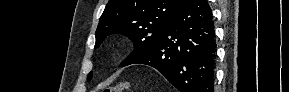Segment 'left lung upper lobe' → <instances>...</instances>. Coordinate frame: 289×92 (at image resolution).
I'll use <instances>...</instances> for the list:
<instances>
[{
  "label": "left lung upper lobe",
  "instance_id": "1",
  "mask_svg": "<svg viewBox=\"0 0 289 92\" xmlns=\"http://www.w3.org/2000/svg\"><path fill=\"white\" fill-rule=\"evenodd\" d=\"M186 0H109L96 30L98 48L110 34L129 37L134 51L121 63L126 66L149 53L157 44L163 30ZM92 78V72L87 79Z\"/></svg>",
  "mask_w": 289,
  "mask_h": 92
}]
</instances>
